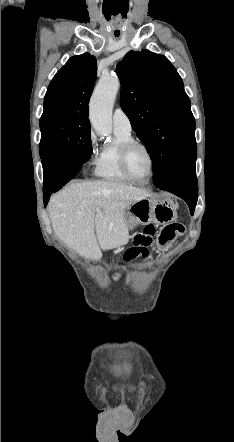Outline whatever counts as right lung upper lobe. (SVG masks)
<instances>
[{
  "instance_id": "obj_1",
  "label": "right lung upper lobe",
  "mask_w": 234,
  "mask_h": 442,
  "mask_svg": "<svg viewBox=\"0 0 234 442\" xmlns=\"http://www.w3.org/2000/svg\"><path fill=\"white\" fill-rule=\"evenodd\" d=\"M96 74L94 56L85 53L71 57L49 84L41 118L66 115L88 121V103Z\"/></svg>"
}]
</instances>
